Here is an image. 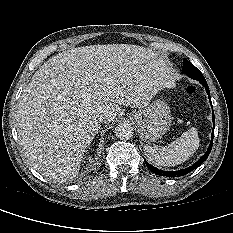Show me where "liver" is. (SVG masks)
I'll list each match as a JSON object with an SVG mask.
<instances>
[{
    "label": "liver",
    "mask_w": 233,
    "mask_h": 233,
    "mask_svg": "<svg viewBox=\"0 0 233 233\" xmlns=\"http://www.w3.org/2000/svg\"><path fill=\"white\" fill-rule=\"evenodd\" d=\"M165 62L151 49L130 44L90 45L46 61L20 98V145L48 179H73L98 133L101 115L112 122L119 105L145 107L172 85Z\"/></svg>",
    "instance_id": "obj_1"
}]
</instances>
